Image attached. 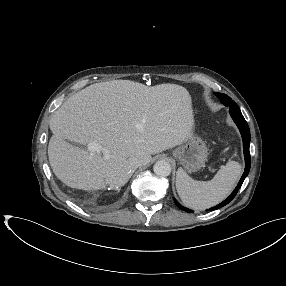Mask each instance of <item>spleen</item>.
<instances>
[{"mask_svg": "<svg viewBox=\"0 0 286 286\" xmlns=\"http://www.w3.org/2000/svg\"><path fill=\"white\" fill-rule=\"evenodd\" d=\"M238 162L229 161L210 181L193 180L182 168L177 171L176 188L182 202L189 208L204 210L213 207L234 189L241 176Z\"/></svg>", "mask_w": 286, "mask_h": 286, "instance_id": "obj_1", "label": "spleen"}]
</instances>
